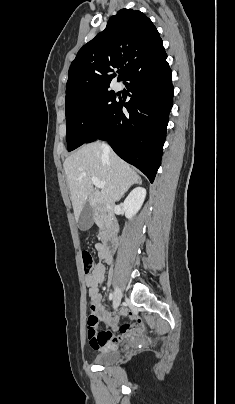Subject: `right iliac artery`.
Returning <instances> with one entry per match:
<instances>
[{"mask_svg": "<svg viewBox=\"0 0 235 404\" xmlns=\"http://www.w3.org/2000/svg\"><path fill=\"white\" fill-rule=\"evenodd\" d=\"M113 297H114L113 293H110V295H109V300H112Z\"/></svg>", "mask_w": 235, "mask_h": 404, "instance_id": "right-iliac-artery-1", "label": "right iliac artery"}]
</instances>
